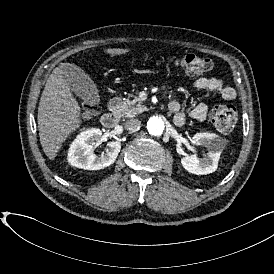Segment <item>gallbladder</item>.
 I'll use <instances>...</instances> for the list:
<instances>
[{
    "label": "gallbladder",
    "mask_w": 274,
    "mask_h": 274,
    "mask_svg": "<svg viewBox=\"0 0 274 274\" xmlns=\"http://www.w3.org/2000/svg\"><path fill=\"white\" fill-rule=\"evenodd\" d=\"M63 76L71 89L82 100L91 102L97 96V88L94 81L83 70L79 71L78 67L69 65L65 67Z\"/></svg>",
    "instance_id": "1"
}]
</instances>
